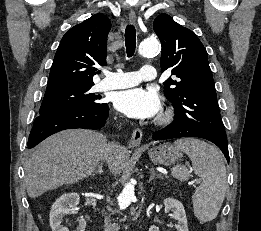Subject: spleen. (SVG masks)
<instances>
[{
	"instance_id": "1",
	"label": "spleen",
	"mask_w": 261,
	"mask_h": 231,
	"mask_svg": "<svg viewBox=\"0 0 261 231\" xmlns=\"http://www.w3.org/2000/svg\"><path fill=\"white\" fill-rule=\"evenodd\" d=\"M174 144L190 157L193 171L201 179L200 186L193 194L195 216L203 222L215 219L227 188L223 155L214 146L196 138L179 139ZM171 172L181 181L190 177L188 169L183 165L174 166Z\"/></svg>"
}]
</instances>
